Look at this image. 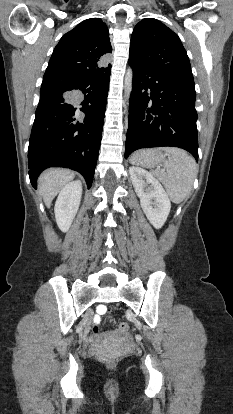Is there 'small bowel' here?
<instances>
[{
	"label": "small bowel",
	"instance_id": "1",
	"mask_svg": "<svg viewBox=\"0 0 233 414\" xmlns=\"http://www.w3.org/2000/svg\"><path fill=\"white\" fill-rule=\"evenodd\" d=\"M99 311L100 312H104L105 311V307L104 306H99ZM96 321H98V318H95Z\"/></svg>",
	"mask_w": 233,
	"mask_h": 414
}]
</instances>
